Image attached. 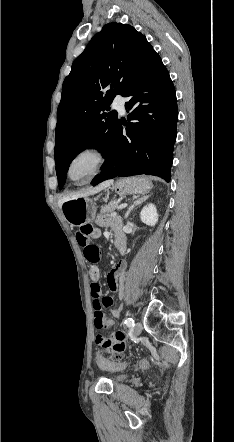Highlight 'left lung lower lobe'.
<instances>
[{"label": "left lung lower lobe", "mask_w": 234, "mask_h": 442, "mask_svg": "<svg viewBox=\"0 0 234 442\" xmlns=\"http://www.w3.org/2000/svg\"><path fill=\"white\" fill-rule=\"evenodd\" d=\"M128 123L118 124L113 143L93 185L117 176L156 175L169 182L176 141L177 99L173 82L154 52L125 90ZM131 120V122H130ZM126 126V135L122 134Z\"/></svg>", "instance_id": "obj_1"}]
</instances>
